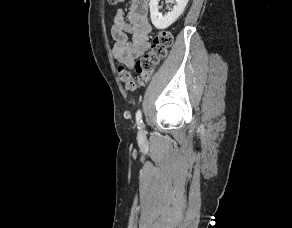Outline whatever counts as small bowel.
<instances>
[{
	"label": "small bowel",
	"instance_id": "1",
	"mask_svg": "<svg viewBox=\"0 0 292 228\" xmlns=\"http://www.w3.org/2000/svg\"><path fill=\"white\" fill-rule=\"evenodd\" d=\"M148 4L149 0H130L128 9H119L114 16L112 52L128 68H132L136 59L150 48L152 27L148 20Z\"/></svg>",
	"mask_w": 292,
	"mask_h": 228
}]
</instances>
